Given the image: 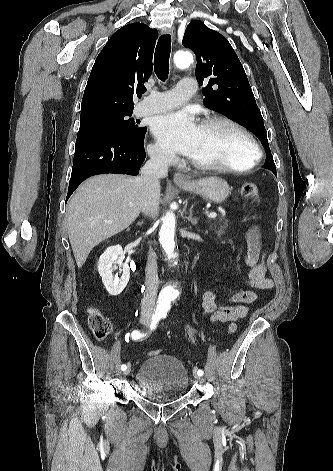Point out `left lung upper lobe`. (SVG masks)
Returning <instances> with one entry per match:
<instances>
[{"label": "left lung upper lobe", "mask_w": 333, "mask_h": 471, "mask_svg": "<svg viewBox=\"0 0 333 471\" xmlns=\"http://www.w3.org/2000/svg\"><path fill=\"white\" fill-rule=\"evenodd\" d=\"M183 45L196 54V79L199 85L206 84L202 91L204 104L250 129L265 148L263 168L277 176L261 112L244 68L228 40L194 20L186 28Z\"/></svg>", "instance_id": "1"}]
</instances>
